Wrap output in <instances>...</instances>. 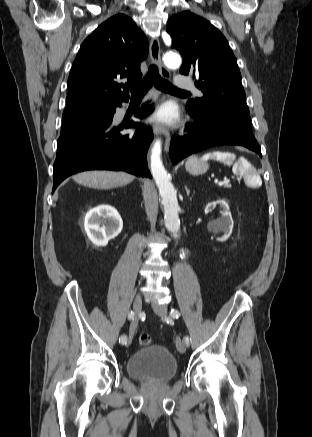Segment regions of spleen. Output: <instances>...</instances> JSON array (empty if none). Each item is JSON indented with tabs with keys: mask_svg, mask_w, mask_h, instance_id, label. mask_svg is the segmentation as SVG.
Masks as SVG:
<instances>
[{
	"mask_svg": "<svg viewBox=\"0 0 312 437\" xmlns=\"http://www.w3.org/2000/svg\"><path fill=\"white\" fill-rule=\"evenodd\" d=\"M210 158L222 162L227 166H231L233 164L234 173L245 175L248 182L252 186L257 187L261 185L260 177L253 172L251 168V164L245 158H239L234 163V161L236 160L235 154L230 152H220V151L210 152L202 157L203 160H208Z\"/></svg>",
	"mask_w": 312,
	"mask_h": 437,
	"instance_id": "3e777b00",
	"label": "spleen"
}]
</instances>
